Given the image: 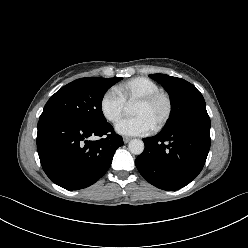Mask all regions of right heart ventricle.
Returning a JSON list of instances; mask_svg holds the SVG:
<instances>
[{
  "mask_svg": "<svg viewBox=\"0 0 248 248\" xmlns=\"http://www.w3.org/2000/svg\"><path fill=\"white\" fill-rule=\"evenodd\" d=\"M115 91L126 104H131L144 96L160 91V87L149 78L136 77L119 84Z\"/></svg>",
  "mask_w": 248,
  "mask_h": 248,
  "instance_id": "right-heart-ventricle-1",
  "label": "right heart ventricle"
}]
</instances>
